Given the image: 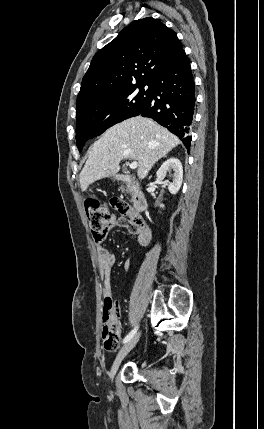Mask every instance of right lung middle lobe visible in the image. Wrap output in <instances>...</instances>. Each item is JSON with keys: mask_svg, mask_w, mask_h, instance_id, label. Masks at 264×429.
<instances>
[{"mask_svg": "<svg viewBox=\"0 0 264 429\" xmlns=\"http://www.w3.org/2000/svg\"><path fill=\"white\" fill-rule=\"evenodd\" d=\"M145 85H148L146 91ZM151 96V84H137L78 106L76 142L79 151H82L87 140L102 134L116 123L137 116Z\"/></svg>", "mask_w": 264, "mask_h": 429, "instance_id": "obj_1", "label": "right lung middle lobe"}]
</instances>
